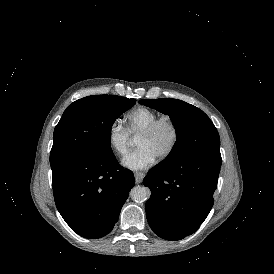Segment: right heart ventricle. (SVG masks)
Here are the masks:
<instances>
[{
  "label": "right heart ventricle",
  "mask_w": 274,
  "mask_h": 274,
  "mask_svg": "<svg viewBox=\"0 0 274 274\" xmlns=\"http://www.w3.org/2000/svg\"><path fill=\"white\" fill-rule=\"evenodd\" d=\"M159 119V114L148 109H140L126 116V131L130 135H136L149 127Z\"/></svg>",
  "instance_id": "obj_1"
}]
</instances>
